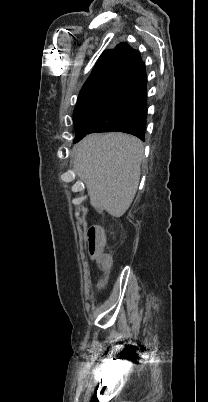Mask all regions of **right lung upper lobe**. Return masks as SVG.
<instances>
[{"label": "right lung upper lobe", "instance_id": "1", "mask_svg": "<svg viewBox=\"0 0 208 402\" xmlns=\"http://www.w3.org/2000/svg\"><path fill=\"white\" fill-rule=\"evenodd\" d=\"M137 54L138 51L126 43H120L113 50L103 52L83 85L79 96L107 84L110 86Z\"/></svg>", "mask_w": 208, "mask_h": 402}]
</instances>
